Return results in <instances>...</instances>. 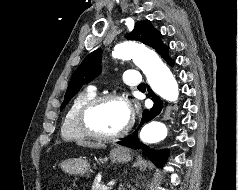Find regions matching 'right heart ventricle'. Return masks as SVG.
<instances>
[{
    "label": "right heart ventricle",
    "instance_id": "e07e8e85",
    "mask_svg": "<svg viewBox=\"0 0 238 190\" xmlns=\"http://www.w3.org/2000/svg\"><path fill=\"white\" fill-rule=\"evenodd\" d=\"M95 96L96 91L89 88L80 92L72 100L61 126V136L64 140L84 141L88 139V137L82 133L78 126V115L82 107Z\"/></svg>",
    "mask_w": 238,
    "mask_h": 190
}]
</instances>
